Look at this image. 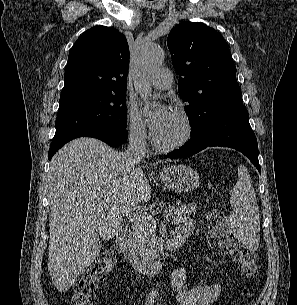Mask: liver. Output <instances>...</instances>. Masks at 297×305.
<instances>
[{
    "label": "liver",
    "mask_w": 297,
    "mask_h": 305,
    "mask_svg": "<svg viewBox=\"0 0 297 305\" xmlns=\"http://www.w3.org/2000/svg\"><path fill=\"white\" fill-rule=\"evenodd\" d=\"M94 138H78L50 161L48 269L54 286L66 292L112 239L124 217L151 198L143 173Z\"/></svg>",
    "instance_id": "obj_1"
}]
</instances>
